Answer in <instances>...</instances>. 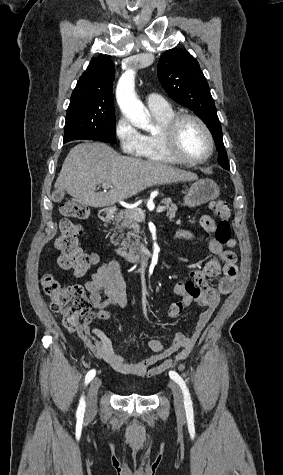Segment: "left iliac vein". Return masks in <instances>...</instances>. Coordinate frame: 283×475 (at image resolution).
Instances as JSON below:
<instances>
[{"label": "left iliac vein", "instance_id": "4c4485c4", "mask_svg": "<svg viewBox=\"0 0 283 475\" xmlns=\"http://www.w3.org/2000/svg\"><path fill=\"white\" fill-rule=\"evenodd\" d=\"M168 386L170 387V389L173 392L175 408L177 409L178 414L180 416H183V413H184V398H183V394L181 392V389H180L179 385L173 380L169 381Z\"/></svg>", "mask_w": 283, "mask_h": 475}]
</instances>
